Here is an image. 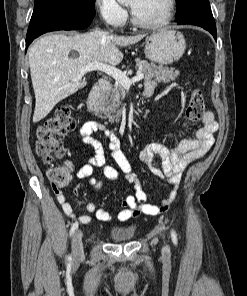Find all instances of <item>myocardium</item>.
<instances>
[{
	"mask_svg": "<svg viewBox=\"0 0 247 296\" xmlns=\"http://www.w3.org/2000/svg\"><path fill=\"white\" fill-rule=\"evenodd\" d=\"M165 4H166V13L160 21L155 23H143L139 21L131 11L132 24L138 28L146 29V30H155V29H160L165 27L167 24H169V22L173 17V14L175 11V0H165Z\"/></svg>",
	"mask_w": 247,
	"mask_h": 296,
	"instance_id": "1",
	"label": "myocardium"
}]
</instances>
